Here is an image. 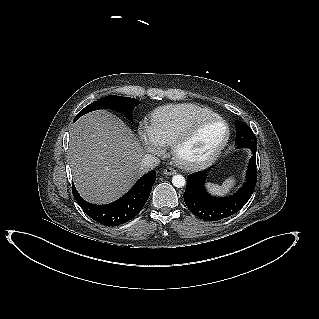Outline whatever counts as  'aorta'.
I'll return each instance as SVG.
<instances>
[{"label":"aorta","mask_w":319,"mask_h":319,"mask_svg":"<svg viewBox=\"0 0 319 319\" xmlns=\"http://www.w3.org/2000/svg\"><path fill=\"white\" fill-rule=\"evenodd\" d=\"M172 184L177 188H182L185 186L186 181L182 175H174L172 177Z\"/></svg>","instance_id":"762f6f07"}]
</instances>
